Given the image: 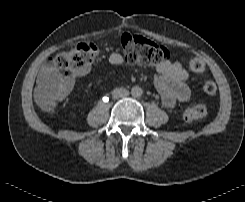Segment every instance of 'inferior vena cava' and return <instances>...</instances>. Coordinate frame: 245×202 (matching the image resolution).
<instances>
[{
    "mask_svg": "<svg viewBox=\"0 0 245 202\" xmlns=\"http://www.w3.org/2000/svg\"><path fill=\"white\" fill-rule=\"evenodd\" d=\"M128 94L129 92L125 88H116L112 91V96L114 99L126 97Z\"/></svg>",
    "mask_w": 245,
    "mask_h": 202,
    "instance_id": "obj_1",
    "label": "inferior vena cava"
}]
</instances>
